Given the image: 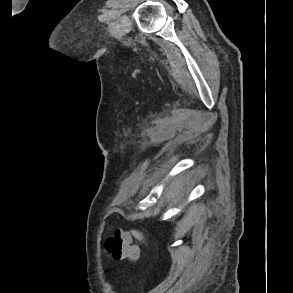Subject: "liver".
Instances as JSON below:
<instances>
[{
	"mask_svg": "<svg viewBox=\"0 0 293 293\" xmlns=\"http://www.w3.org/2000/svg\"><path fill=\"white\" fill-rule=\"evenodd\" d=\"M182 186H183V178L179 177L172 181L168 188L166 189L164 196L166 200H174L175 198H178L181 195L182 192ZM135 237L139 240H143L144 236L139 231H133Z\"/></svg>",
	"mask_w": 293,
	"mask_h": 293,
	"instance_id": "6515ba94",
	"label": "liver"
}]
</instances>
